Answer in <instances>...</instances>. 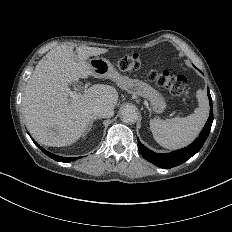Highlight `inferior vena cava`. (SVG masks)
Wrapping results in <instances>:
<instances>
[{"label": "inferior vena cava", "instance_id": "1", "mask_svg": "<svg viewBox=\"0 0 232 232\" xmlns=\"http://www.w3.org/2000/svg\"><path fill=\"white\" fill-rule=\"evenodd\" d=\"M94 114L102 118H111L114 114V110L110 106L100 105L94 108Z\"/></svg>", "mask_w": 232, "mask_h": 232}]
</instances>
